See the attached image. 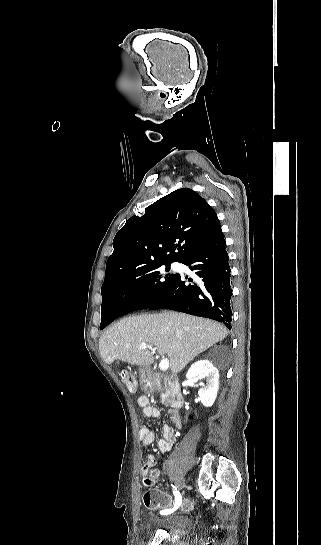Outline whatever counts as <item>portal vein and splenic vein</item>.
Here are the masks:
<instances>
[{
	"instance_id": "18ae733b",
	"label": "portal vein and splenic vein",
	"mask_w": 321,
	"mask_h": 545,
	"mask_svg": "<svg viewBox=\"0 0 321 545\" xmlns=\"http://www.w3.org/2000/svg\"><path fill=\"white\" fill-rule=\"evenodd\" d=\"M140 349H150V351H152V353H155V351H156V349H153V347H151V345H147V343H141ZM159 367H160L161 371H167V369L169 367L168 359H162L161 363H159Z\"/></svg>"
}]
</instances>
